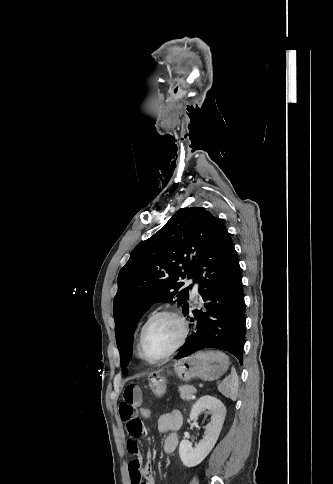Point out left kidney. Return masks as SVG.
Wrapping results in <instances>:
<instances>
[{"mask_svg":"<svg viewBox=\"0 0 333 484\" xmlns=\"http://www.w3.org/2000/svg\"><path fill=\"white\" fill-rule=\"evenodd\" d=\"M211 415V421L206 426L203 439L195 447L184 439L179 445V455L186 467L200 464L216 444L225 420L226 408L217 398L205 395L198 399L190 412V419H196L203 411Z\"/></svg>","mask_w":333,"mask_h":484,"instance_id":"obj_1","label":"left kidney"}]
</instances>
